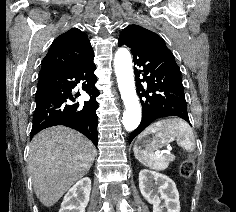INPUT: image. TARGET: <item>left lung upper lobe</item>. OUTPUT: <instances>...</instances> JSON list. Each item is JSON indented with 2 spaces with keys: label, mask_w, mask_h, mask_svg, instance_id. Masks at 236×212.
<instances>
[{
  "label": "left lung upper lobe",
  "mask_w": 236,
  "mask_h": 212,
  "mask_svg": "<svg viewBox=\"0 0 236 212\" xmlns=\"http://www.w3.org/2000/svg\"><path fill=\"white\" fill-rule=\"evenodd\" d=\"M123 30L145 31V32L151 33V34H153V35H157V34L151 32L150 30L145 29V28H143V27H141V26H139V25H135V24L129 25V26H127V27H126L125 29H123Z\"/></svg>",
  "instance_id": "left-lung-upper-lobe-1"
}]
</instances>
